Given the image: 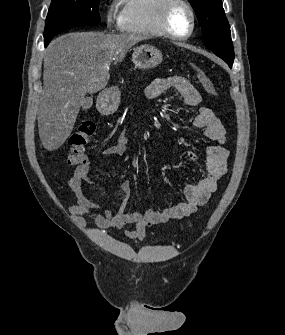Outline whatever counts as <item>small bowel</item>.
<instances>
[{"label":"small bowel","instance_id":"c3829d8e","mask_svg":"<svg viewBox=\"0 0 285 335\" xmlns=\"http://www.w3.org/2000/svg\"><path fill=\"white\" fill-rule=\"evenodd\" d=\"M174 90L188 106L196 107L197 114L193 125L204 130V134L213 144L206 151L204 162L205 175L196 184H189L184 190L185 201L162 210H148L144 213H129L121 207L117 212L101 210L92 202L84 191L86 183H92L90 163L77 167L70 180V188L77 199V203L70 207L72 217L80 224L85 225L86 219L93 221L101 229H121L126 225L131 228L126 230V235L132 240H142L148 228L170 220L188 217L206 204L210 196L217 190V185L227 172L229 151L223 146L226 140V130L216 117L213 110L201 106V96L193 84L186 78L175 76L158 78L147 88L149 98L155 99L166 91ZM128 137L122 133L117 141L108 146L103 155L106 157L120 158L126 154ZM189 158L200 166L196 156L189 153ZM129 183L123 182L119 187V197L125 199L129 194Z\"/></svg>","mask_w":285,"mask_h":335}]
</instances>
